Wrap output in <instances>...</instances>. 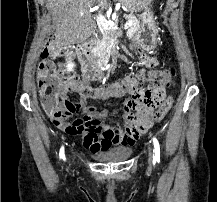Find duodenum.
Here are the masks:
<instances>
[{
  "label": "duodenum",
  "mask_w": 217,
  "mask_h": 202,
  "mask_svg": "<svg viewBox=\"0 0 217 202\" xmlns=\"http://www.w3.org/2000/svg\"><path fill=\"white\" fill-rule=\"evenodd\" d=\"M81 65L83 76L86 80L94 81L102 78V71L99 69L94 59L92 43L82 47Z\"/></svg>",
  "instance_id": "410a0bca"
}]
</instances>
